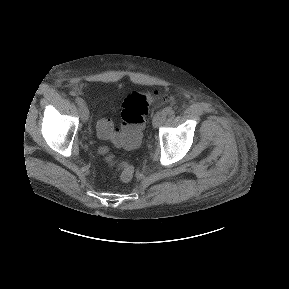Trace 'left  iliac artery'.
<instances>
[{
	"label": "left iliac artery",
	"mask_w": 289,
	"mask_h": 289,
	"mask_svg": "<svg viewBox=\"0 0 289 289\" xmlns=\"http://www.w3.org/2000/svg\"><path fill=\"white\" fill-rule=\"evenodd\" d=\"M164 111H165V113L168 114V115H172V114L174 113L173 108L170 107V106L165 107V108H164Z\"/></svg>",
	"instance_id": "44dca946"
}]
</instances>
